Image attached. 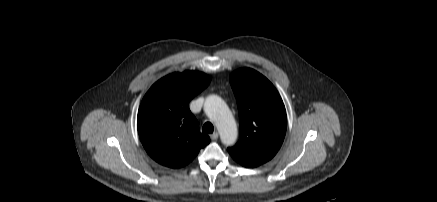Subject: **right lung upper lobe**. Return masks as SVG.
Returning <instances> with one entry per match:
<instances>
[{"instance_id": "obj_1", "label": "right lung upper lobe", "mask_w": 437, "mask_h": 202, "mask_svg": "<svg viewBox=\"0 0 437 202\" xmlns=\"http://www.w3.org/2000/svg\"><path fill=\"white\" fill-rule=\"evenodd\" d=\"M209 83L210 78L201 72L172 73L144 96L137 116L138 133L147 153L159 164L183 167L210 143L189 109L191 99Z\"/></svg>"}]
</instances>
